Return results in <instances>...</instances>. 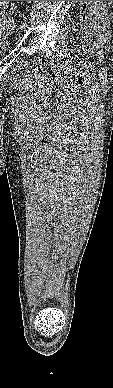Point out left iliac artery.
Instances as JSON below:
<instances>
[{
    "instance_id": "1",
    "label": "left iliac artery",
    "mask_w": 113,
    "mask_h": 388,
    "mask_svg": "<svg viewBox=\"0 0 113 388\" xmlns=\"http://www.w3.org/2000/svg\"><path fill=\"white\" fill-rule=\"evenodd\" d=\"M28 19H29L28 16L24 17V20H28Z\"/></svg>"
}]
</instances>
